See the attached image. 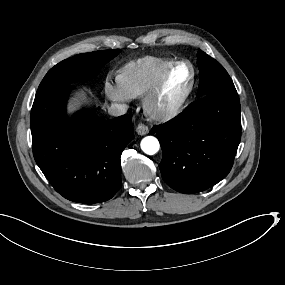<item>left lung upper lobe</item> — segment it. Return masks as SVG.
Instances as JSON below:
<instances>
[{"mask_svg":"<svg viewBox=\"0 0 285 285\" xmlns=\"http://www.w3.org/2000/svg\"><path fill=\"white\" fill-rule=\"evenodd\" d=\"M197 64L200 72L201 95L236 91L229 74L222 65L201 50L198 51Z\"/></svg>","mask_w":285,"mask_h":285,"instance_id":"obj_1","label":"left lung upper lobe"}]
</instances>
